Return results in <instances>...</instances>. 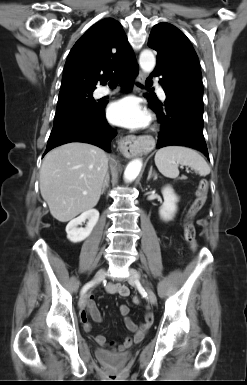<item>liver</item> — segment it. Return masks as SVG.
Segmentation results:
<instances>
[{"label": "liver", "mask_w": 247, "mask_h": 385, "mask_svg": "<svg viewBox=\"0 0 247 385\" xmlns=\"http://www.w3.org/2000/svg\"><path fill=\"white\" fill-rule=\"evenodd\" d=\"M107 170V154L91 144L70 142L47 153L40 169V191L51 215L67 222L95 207Z\"/></svg>", "instance_id": "6515ba94"}]
</instances>
